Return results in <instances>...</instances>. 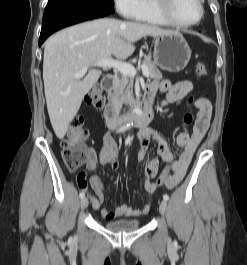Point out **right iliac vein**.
Wrapping results in <instances>:
<instances>
[{"instance_id": "1", "label": "right iliac vein", "mask_w": 247, "mask_h": 265, "mask_svg": "<svg viewBox=\"0 0 247 265\" xmlns=\"http://www.w3.org/2000/svg\"><path fill=\"white\" fill-rule=\"evenodd\" d=\"M81 209H86L88 206V199L87 198H82L80 202Z\"/></svg>"}]
</instances>
